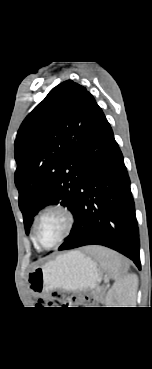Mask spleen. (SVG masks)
Returning <instances> with one entry per match:
<instances>
[{
	"instance_id": "3e777b00",
	"label": "spleen",
	"mask_w": 152,
	"mask_h": 369,
	"mask_svg": "<svg viewBox=\"0 0 152 369\" xmlns=\"http://www.w3.org/2000/svg\"><path fill=\"white\" fill-rule=\"evenodd\" d=\"M96 256L100 259L102 267L108 270L114 278L116 284L122 286L124 276L129 268L126 260L120 254L105 248L97 249Z\"/></svg>"
}]
</instances>
